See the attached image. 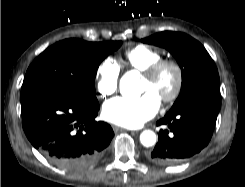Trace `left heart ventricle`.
<instances>
[{"label": "left heart ventricle", "mask_w": 245, "mask_h": 187, "mask_svg": "<svg viewBox=\"0 0 245 187\" xmlns=\"http://www.w3.org/2000/svg\"><path fill=\"white\" fill-rule=\"evenodd\" d=\"M174 80V73L171 70L166 69L154 81H151L144 77L142 91L145 92L147 90H152L159 97H161L162 95L168 94L172 90Z\"/></svg>", "instance_id": "b2bd125f"}]
</instances>
